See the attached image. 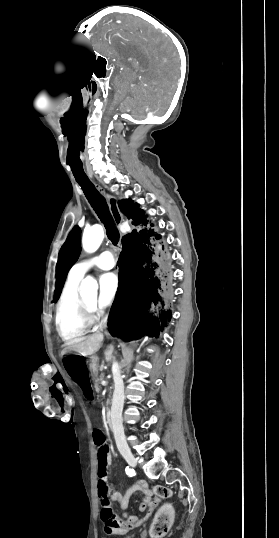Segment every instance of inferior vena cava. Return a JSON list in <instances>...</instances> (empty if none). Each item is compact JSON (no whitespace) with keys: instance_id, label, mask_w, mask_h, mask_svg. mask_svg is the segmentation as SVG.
<instances>
[{"instance_id":"1","label":"inferior vena cava","mask_w":279,"mask_h":538,"mask_svg":"<svg viewBox=\"0 0 279 538\" xmlns=\"http://www.w3.org/2000/svg\"><path fill=\"white\" fill-rule=\"evenodd\" d=\"M117 371L114 378L115 382V391H114V397H113V403L111 407V425L113 426V432L116 440L117 447L120 451V453L124 456L126 459L127 456L132 455L130 452V449L128 447V444L125 440L124 435V428L122 426V409H123V402H124V386L123 382L120 381L122 376L120 375V371L118 369V365L115 363L113 364V372Z\"/></svg>"}]
</instances>
